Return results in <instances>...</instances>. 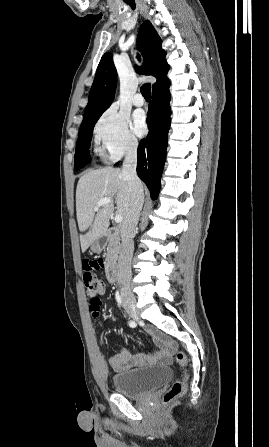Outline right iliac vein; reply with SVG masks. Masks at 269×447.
Here are the masks:
<instances>
[{
    "instance_id": "1",
    "label": "right iliac vein",
    "mask_w": 269,
    "mask_h": 447,
    "mask_svg": "<svg viewBox=\"0 0 269 447\" xmlns=\"http://www.w3.org/2000/svg\"><path fill=\"white\" fill-rule=\"evenodd\" d=\"M123 307L128 312L131 318L136 319L137 318V312H136V300L135 298L130 299L129 301L123 302Z\"/></svg>"
}]
</instances>
